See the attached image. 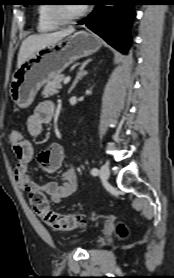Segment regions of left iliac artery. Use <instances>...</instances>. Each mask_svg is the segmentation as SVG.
I'll return each mask as SVG.
<instances>
[{"label":"left iliac artery","mask_w":174,"mask_h":278,"mask_svg":"<svg viewBox=\"0 0 174 278\" xmlns=\"http://www.w3.org/2000/svg\"><path fill=\"white\" fill-rule=\"evenodd\" d=\"M98 173H99V171H98L97 168H93V169L91 170V174H92L93 176L98 175Z\"/></svg>","instance_id":"1"}]
</instances>
